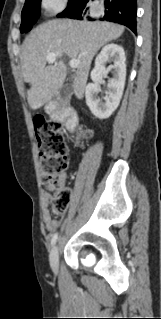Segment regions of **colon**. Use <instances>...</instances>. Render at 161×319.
Listing matches in <instances>:
<instances>
[{"instance_id":"5ec220e1","label":"colon","mask_w":161,"mask_h":319,"mask_svg":"<svg viewBox=\"0 0 161 319\" xmlns=\"http://www.w3.org/2000/svg\"><path fill=\"white\" fill-rule=\"evenodd\" d=\"M39 166L42 184L53 188L51 209L56 215H63L69 208L72 195L69 189L63 187L57 177L66 170L68 164V149L63 139V128L56 122H48L42 117L34 119ZM82 138L91 135L90 130L81 129Z\"/></svg>"}]
</instances>
